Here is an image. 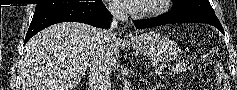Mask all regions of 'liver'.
Instances as JSON below:
<instances>
[{
  "mask_svg": "<svg viewBox=\"0 0 237 90\" xmlns=\"http://www.w3.org/2000/svg\"><path fill=\"white\" fill-rule=\"evenodd\" d=\"M101 34L87 24L62 22L33 36L20 60L22 90H75L97 54Z\"/></svg>",
  "mask_w": 237,
  "mask_h": 90,
  "instance_id": "1",
  "label": "liver"
}]
</instances>
